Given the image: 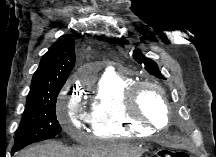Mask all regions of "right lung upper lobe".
<instances>
[{
  "mask_svg": "<svg viewBox=\"0 0 216 157\" xmlns=\"http://www.w3.org/2000/svg\"><path fill=\"white\" fill-rule=\"evenodd\" d=\"M75 64L74 36H61L43 55L33 75L27 99L60 91Z\"/></svg>",
  "mask_w": 216,
  "mask_h": 157,
  "instance_id": "right-lung-upper-lobe-1",
  "label": "right lung upper lobe"
}]
</instances>
